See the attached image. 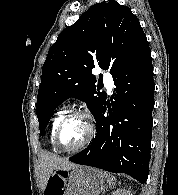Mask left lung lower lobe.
<instances>
[{"label":"left lung lower lobe","instance_id":"left-lung-lower-lobe-1","mask_svg":"<svg viewBox=\"0 0 178 195\" xmlns=\"http://www.w3.org/2000/svg\"><path fill=\"white\" fill-rule=\"evenodd\" d=\"M115 93L95 117L96 136L69 160L109 172L125 173L141 183L148 178L154 108L151 51L114 78Z\"/></svg>","mask_w":178,"mask_h":195}]
</instances>
